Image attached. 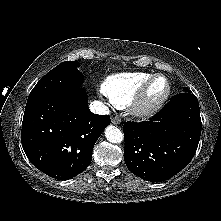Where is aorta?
Returning a JSON list of instances; mask_svg holds the SVG:
<instances>
[{"label":"aorta","instance_id":"aorta-1","mask_svg":"<svg viewBox=\"0 0 221 221\" xmlns=\"http://www.w3.org/2000/svg\"><path fill=\"white\" fill-rule=\"evenodd\" d=\"M105 137L111 143H121L123 141V133L119 128L113 125L106 127Z\"/></svg>","mask_w":221,"mask_h":221}]
</instances>
